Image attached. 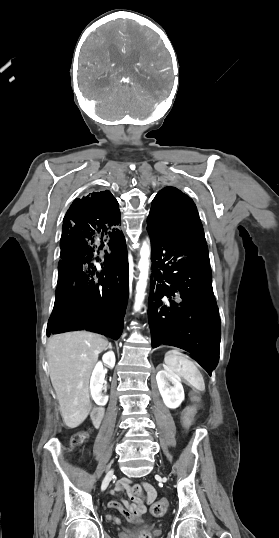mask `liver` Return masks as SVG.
<instances>
[{
    "label": "liver",
    "instance_id": "1",
    "mask_svg": "<svg viewBox=\"0 0 279 538\" xmlns=\"http://www.w3.org/2000/svg\"><path fill=\"white\" fill-rule=\"evenodd\" d=\"M109 342L92 332H67L49 338L47 358L61 416L68 428H77L90 412L89 378L100 352Z\"/></svg>",
    "mask_w": 279,
    "mask_h": 538
}]
</instances>
